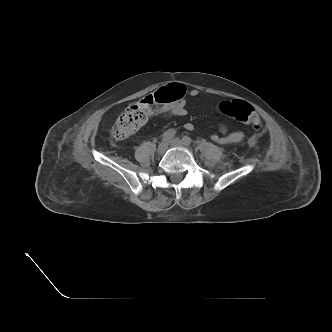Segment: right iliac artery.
I'll return each mask as SVG.
<instances>
[{
  "label": "right iliac artery",
  "instance_id": "right-iliac-artery-1",
  "mask_svg": "<svg viewBox=\"0 0 332 332\" xmlns=\"http://www.w3.org/2000/svg\"><path fill=\"white\" fill-rule=\"evenodd\" d=\"M176 134V131L174 129H169L163 134V140L169 141L172 139Z\"/></svg>",
  "mask_w": 332,
  "mask_h": 332
}]
</instances>
